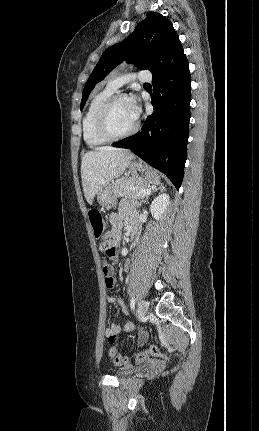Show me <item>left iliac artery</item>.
<instances>
[{"mask_svg":"<svg viewBox=\"0 0 259 431\" xmlns=\"http://www.w3.org/2000/svg\"><path fill=\"white\" fill-rule=\"evenodd\" d=\"M130 307H131V310H134V308H135V298L134 297H132L130 300Z\"/></svg>","mask_w":259,"mask_h":431,"instance_id":"1","label":"left iliac artery"}]
</instances>
